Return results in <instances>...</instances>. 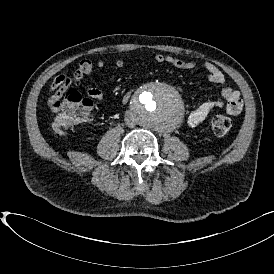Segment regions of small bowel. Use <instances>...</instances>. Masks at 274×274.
I'll use <instances>...</instances> for the list:
<instances>
[{
    "mask_svg": "<svg viewBox=\"0 0 274 274\" xmlns=\"http://www.w3.org/2000/svg\"><path fill=\"white\" fill-rule=\"evenodd\" d=\"M154 60L159 64H169L184 70H193L197 67V63L194 61L181 60L165 54H156ZM115 66L118 69H122L125 66V61L123 59H117ZM105 67L106 63L103 60L94 63L89 59H84L79 63L72 77L65 75L57 76L50 85V92L54 94L56 99H61L63 93L72 86H82L85 94L89 98L85 99L88 103L92 104L91 100L101 101L104 96L103 92L95 86L85 84L84 79L92 75L95 68L104 69ZM203 68L207 72L210 82L214 84H224L226 82V76L215 64L205 62ZM132 92L133 88L124 94L122 99L124 104L128 102ZM222 97V100L205 101L193 110L187 118L188 127L191 129L198 128L209 115L220 110H224L230 115H237L243 110V100L239 91L232 87H224L222 89Z\"/></svg>",
    "mask_w": 274,
    "mask_h": 274,
    "instance_id": "c3829d8e",
    "label": "small bowel"
}]
</instances>
